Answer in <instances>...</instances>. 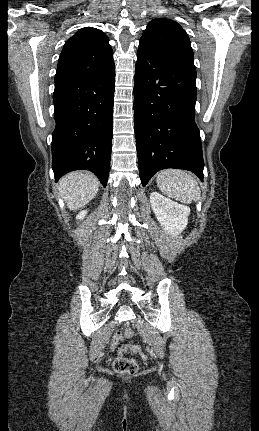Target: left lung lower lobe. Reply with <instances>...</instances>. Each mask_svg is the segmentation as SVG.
<instances>
[{"instance_id":"1","label":"left lung lower lobe","mask_w":259,"mask_h":431,"mask_svg":"<svg viewBox=\"0 0 259 431\" xmlns=\"http://www.w3.org/2000/svg\"><path fill=\"white\" fill-rule=\"evenodd\" d=\"M196 69L139 44L134 80V127L141 183L178 168L203 180L195 123Z\"/></svg>"}]
</instances>
